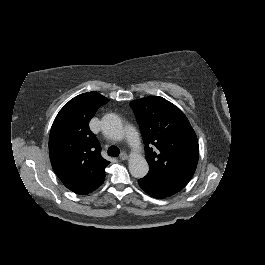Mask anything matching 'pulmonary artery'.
Instances as JSON below:
<instances>
[{
  "label": "pulmonary artery",
  "mask_w": 265,
  "mask_h": 265,
  "mask_svg": "<svg viewBox=\"0 0 265 265\" xmlns=\"http://www.w3.org/2000/svg\"><path fill=\"white\" fill-rule=\"evenodd\" d=\"M126 132L128 135H130L128 142H129L131 148L136 152L141 151L143 148V144L140 141V139L137 136H135V134L137 132L136 127L133 125H130L127 127ZM112 138L115 141H121L122 140V136H112Z\"/></svg>",
  "instance_id": "e3ab8cb5"
}]
</instances>
